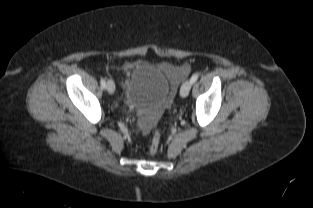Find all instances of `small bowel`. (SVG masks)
Here are the masks:
<instances>
[{
    "label": "small bowel",
    "instance_id": "obj_1",
    "mask_svg": "<svg viewBox=\"0 0 313 208\" xmlns=\"http://www.w3.org/2000/svg\"><path fill=\"white\" fill-rule=\"evenodd\" d=\"M165 70L167 71L168 75L170 76L171 80L174 83H178L182 77L188 74L189 67L187 65H184L179 68H175L169 65L164 66ZM131 67L127 66L125 68V73L128 74L130 72Z\"/></svg>",
    "mask_w": 313,
    "mask_h": 208
}]
</instances>
